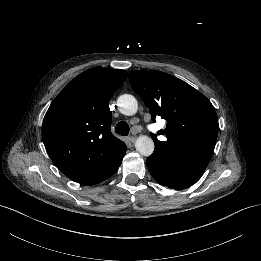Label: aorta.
I'll return each mask as SVG.
<instances>
[{"mask_svg":"<svg viewBox=\"0 0 261 261\" xmlns=\"http://www.w3.org/2000/svg\"><path fill=\"white\" fill-rule=\"evenodd\" d=\"M117 106L124 115H134L137 112L138 104L134 96L130 94L121 95L117 99ZM136 150L142 156H150L154 151V142L148 136H140L135 143Z\"/></svg>","mask_w":261,"mask_h":261,"instance_id":"aorta-1","label":"aorta"}]
</instances>
